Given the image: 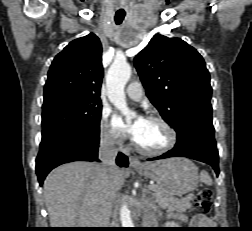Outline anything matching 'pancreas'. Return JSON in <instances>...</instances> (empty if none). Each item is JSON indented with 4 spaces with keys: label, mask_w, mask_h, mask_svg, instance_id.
<instances>
[{
    "label": "pancreas",
    "mask_w": 252,
    "mask_h": 231,
    "mask_svg": "<svg viewBox=\"0 0 252 231\" xmlns=\"http://www.w3.org/2000/svg\"><path fill=\"white\" fill-rule=\"evenodd\" d=\"M152 187V197L155 198V202L159 206L164 208L179 209L181 211H186L191 208V201L194 199V195H188L185 198L178 199L172 196L162 195L157 185Z\"/></svg>",
    "instance_id": "pancreas-1"
}]
</instances>
